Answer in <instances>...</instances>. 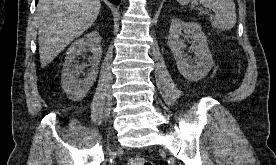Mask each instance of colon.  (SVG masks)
Returning a JSON list of instances; mask_svg holds the SVG:
<instances>
[{"mask_svg":"<svg viewBox=\"0 0 276 165\" xmlns=\"http://www.w3.org/2000/svg\"><path fill=\"white\" fill-rule=\"evenodd\" d=\"M127 165H152V163L141 156H132L128 159Z\"/></svg>","mask_w":276,"mask_h":165,"instance_id":"colon-1","label":"colon"}]
</instances>
